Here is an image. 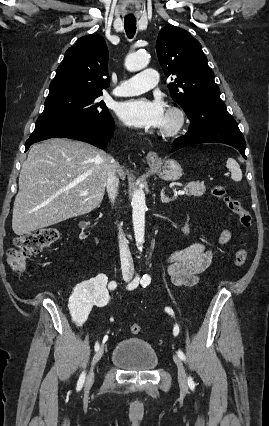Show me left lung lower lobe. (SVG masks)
<instances>
[{
  "label": "left lung lower lobe",
  "mask_w": 269,
  "mask_h": 426,
  "mask_svg": "<svg viewBox=\"0 0 269 426\" xmlns=\"http://www.w3.org/2000/svg\"><path fill=\"white\" fill-rule=\"evenodd\" d=\"M187 116L191 121L189 131L174 140L172 151L193 144L218 142L235 147L246 158L243 134L225 104L220 107H199Z\"/></svg>",
  "instance_id": "obj_1"
}]
</instances>
